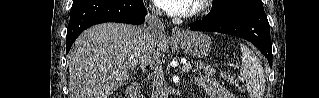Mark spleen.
<instances>
[{"mask_svg": "<svg viewBox=\"0 0 319 98\" xmlns=\"http://www.w3.org/2000/svg\"><path fill=\"white\" fill-rule=\"evenodd\" d=\"M242 52L241 78L246 82L250 98H263L265 91V75L261 61L244 44H240Z\"/></svg>", "mask_w": 319, "mask_h": 98, "instance_id": "1", "label": "spleen"}]
</instances>
